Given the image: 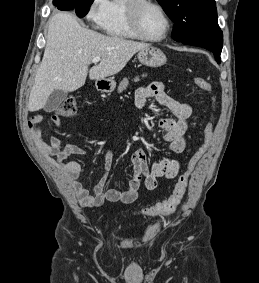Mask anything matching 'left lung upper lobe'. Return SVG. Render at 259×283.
I'll use <instances>...</instances> for the list:
<instances>
[{
  "mask_svg": "<svg viewBox=\"0 0 259 283\" xmlns=\"http://www.w3.org/2000/svg\"><path fill=\"white\" fill-rule=\"evenodd\" d=\"M175 23L173 39L183 42L220 30L214 0H157Z\"/></svg>",
  "mask_w": 259,
  "mask_h": 283,
  "instance_id": "5c2ea615",
  "label": "left lung upper lobe"
}]
</instances>
